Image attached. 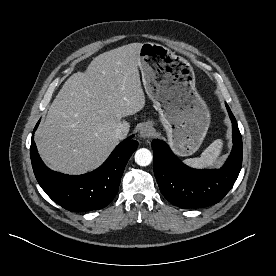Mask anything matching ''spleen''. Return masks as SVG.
Instances as JSON below:
<instances>
[{
    "instance_id": "obj_1",
    "label": "spleen",
    "mask_w": 276,
    "mask_h": 276,
    "mask_svg": "<svg viewBox=\"0 0 276 276\" xmlns=\"http://www.w3.org/2000/svg\"><path fill=\"white\" fill-rule=\"evenodd\" d=\"M222 147V140L217 139L204 150L201 157L185 159L184 163L187 166L196 169L212 167L220 155Z\"/></svg>"
}]
</instances>
